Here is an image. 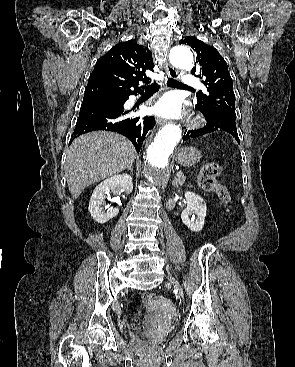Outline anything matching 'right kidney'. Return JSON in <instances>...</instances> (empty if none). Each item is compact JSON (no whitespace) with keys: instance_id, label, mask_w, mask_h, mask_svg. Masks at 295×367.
<instances>
[{"instance_id":"ca27d5eb","label":"right kidney","mask_w":295,"mask_h":367,"mask_svg":"<svg viewBox=\"0 0 295 367\" xmlns=\"http://www.w3.org/2000/svg\"><path fill=\"white\" fill-rule=\"evenodd\" d=\"M132 190V178L127 174L115 175L101 182L94 189L88 207L94 221L103 224L118 215V208L111 207L106 212L103 210L106 205L104 198L110 191L130 194Z\"/></svg>"}]
</instances>
